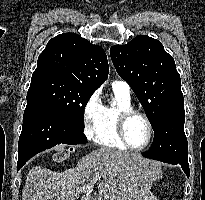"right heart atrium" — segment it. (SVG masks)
<instances>
[{
  "mask_svg": "<svg viewBox=\"0 0 205 200\" xmlns=\"http://www.w3.org/2000/svg\"><path fill=\"white\" fill-rule=\"evenodd\" d=\"M103 103L99 90L94 91L86 100L83 111L82 120L85 135L90 140H95L102 116Z\"/></svg>",
  "mask_w": 205,
  "mask_h": 200,
  "instance_id": "d8ad5b80",
  "label": "right heart atrium"
}]
</instances>
